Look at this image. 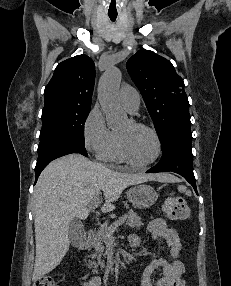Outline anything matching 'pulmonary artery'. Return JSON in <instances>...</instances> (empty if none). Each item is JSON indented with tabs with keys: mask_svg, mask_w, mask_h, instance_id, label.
Segmentation results:
<instances>
[{
	"mask_svg": "<svg viewBox=\"0 0 231 286\" xmlns=\"http://www.w3.org/2000/svg\"><path fill=\"white\" fill-rule=\"evenodd\" d=\"M122 106L130 113H136L140 105L139 93L132 87L124 86L119 92Z\"/></svg>",
	"mask_w": 231,
	"mask_h": 286,
	"instance_id": "obj_1",
	"label": "pulmonary artery"
}]
</instances>
